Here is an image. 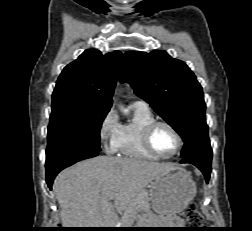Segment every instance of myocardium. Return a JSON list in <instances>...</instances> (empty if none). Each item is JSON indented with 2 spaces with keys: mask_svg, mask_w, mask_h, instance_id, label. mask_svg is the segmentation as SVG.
Returning <instances> with one entry per match:
<instances>
[{
  "mask_svg": "<svg viewBox=\"0 0 252 231\" xmlns=\"http://www.w3.org/2000/svg\"><path fill=\"white\" fill-rule=\"evenodd\" d=\"M158 126L167 127L173 133V135L175 136V138L177 140V143H178L177 149L169 156H163V155L159 154L152 145V134H153L154 129ZM142 141H143V145H144L145 149L150 154H152L156 158L163 159V160H168V159H172V158L176 157L180 153V151L183 147V139H182L180 133L178 132V130L172 124H170L169 122L164 121V120H153L152 122L147 124L145 126V128L143 129Z\"/></svg>",
  "mask_w": 252,
  "mask_h": 231,
  "instance_id": "1",
  "label": "myocardium"
}]
</instances>
